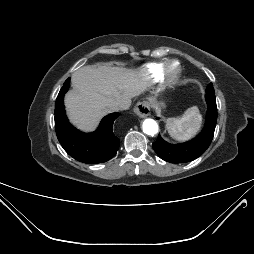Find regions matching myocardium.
Listing matches in <instances>:
<instances>
[{
    "label": "myocardium",
    "mask_w": 254,
    "mask_h": 254,
    "mask_svg": "<svg viewBox=\"0 0 254 254\" xmlns=\"http://www.w3.org/2000/svg\"><path fill=\"white\" fill-rule=\"evenodd\" d=\"M181 73L182 67L180 63L176 60H172L166 64L163 80L165 83L173 85L179 80Z\"/></svg>",
    "instance_id": "myocardium-1"
}]
</instances>
